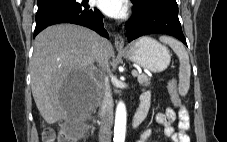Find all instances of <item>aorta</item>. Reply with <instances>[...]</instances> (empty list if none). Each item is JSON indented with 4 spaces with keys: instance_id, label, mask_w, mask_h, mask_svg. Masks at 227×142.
<instances>
[{
    "instance_id": "762f6f07",
    "label": "aorta",
    "mask_w": 227,
    "mask_h": 142,
    "mask_svg": "<svg viewBox=\"0 0 227 142\" xmlns=\"http://www.w3.org/2000/svg\"><path fill=\"white\" fill-rule=\"evenodd\" d=\"M126 120V106L122 101H120L117 104L115 113L114 142H124L126 134Z\"/></svg>"
}]
</instances>
